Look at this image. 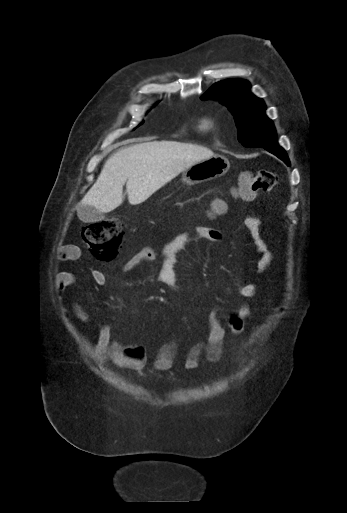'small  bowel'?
I'll return each mask as SVG.
<instances>
[{
    "instance_id": "obj_1",
    "label": "small bowel",
    "mask_w": 347,
    "mask_h": 513,
    "mask_svg": "<svg viewBox=\"0 0 347 513\" xmlns=\"http://www.w3.org/2000/svg\"><path fill=\"white\" fill-rule=\"evenodd\" d=\"M243 226L248 231L254 250L260 254V258L257 261V269L259 273H263L271 264L273 254L261 234V221L258 217L248 216L243 221ZM200 240L221 242L223 240V232L207 226H195L179 234L160 252L161 263L158 277L170 290L174 292L179 290L174 271L177 254L189 243ZM78 251L76 246L64 247L60 251L61 259L63 261L72 260L75 257L74 254L78 253ZM156 258L157 253L155 251L151 248L143 247L125 263L122 271L124 273L132 272L145 264L155 261ZM91 277L97 285L102 286L106 283L105 274L101 270H94L91 273ZM54 286L58 292L73 287L75 286V277L70 272L60 271L54 277ZM237 291L242 297L251 298L257 294L258 285L252 281H243L237 286ZM74 311L80 321L84 323L90 322L88 314L81 307L75 306ZM251 315L252 309L244 302L240 303L238 307L231 309L228 314H226L224 308H213L210 312L205 338L188 350L183 367L187 370L197 369L202 355L209 362H218L222 355L226 335L241 334L245 328V321ZM222 319H225L226 322H222ZM97 330L96 341L90 346L89 350L95 362L102 363L110 360L117 367L132 371L142 370L146 366L147 354L143 344L124 345L112 340L111 329L105 324L97 325ZM147 335L144 334V336ZM175 359V345L173 343L166 344L156 353L153 367L159 372L169 371L173 368Z\"/></svg>"
}]
</instances>
